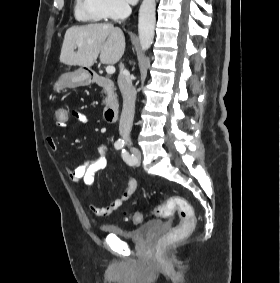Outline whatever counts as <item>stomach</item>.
<instances>
[{
    "instance_id": "stomach-1",
    "label": "stomach",
    "mask_w": 280,
    "mask_h": 283,
    "mask_svg": "<svg viewBox=\"0 0 280 283\" xmlns=\"http://www.w3.org/2000/svg\"><path fill=\"white\" fill-rule=\"evenodd\" d=\"M91 83V75L85 68H80L74 72L62 74L54 83V92H60L65 88L86 86Z\"/></svg>"
}]
</instances>
